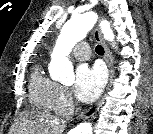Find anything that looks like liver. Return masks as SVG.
<instances>
[{"mask_svg":"<svg viewBox=\"0 0 153 134\" xmlns=\"http://www.w3.org/2000/svg\"><path fill=\"white\" fill-rule=\"evenodd\" d=\"M24 116L26 122L20 126L18 134H26L28 132H43V134L59 132V120L50 114L32 111L26 112ZM60 127L61 131L64 130V124H61Z\"/></svg>","mask_w":153,"mask_h":134,"instance_id":"liver-1","label":"liver"}]
</instances>
